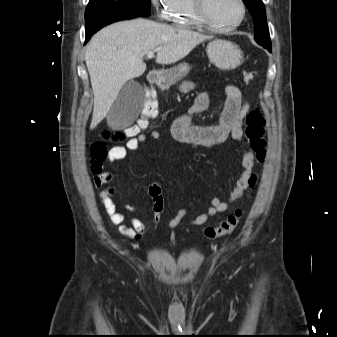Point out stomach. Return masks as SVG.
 Instances as JSON below:
<instances>
[{
    "label": "stomach",
    "instance_id": "stomach-1",
    "mask_svg": "<svg viewBox=\"0 0 337 337\" xmlns=\"http://www.w3.org/2000/svg\"><path fill=\"white\" fill-rule=\"evenodd\" d=\"M209 60L219 69L230 70L241 65L243 53L240 48L225 40H213L207 46ZM190 71L187 63H181L171 69L164 70L161 79L167 84L175 83L185 77Z\"/></svg>",
    "mask_w": 337,
    "mask_h": 337
}]
</instances>
